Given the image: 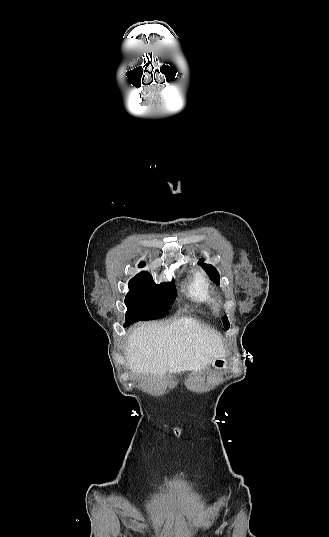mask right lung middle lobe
I'll list each match as a JSON object with an SVG mask.
<instances>
[{"mask_svg": "<svg viewBox=\"0 0 329 537\" xmlns=\"http://www.w3.org/2000/svg\"><path fill=\"white\" fill-rule=\"evenodd\" d=\"M125 297L127 312L124 326L139 320H153L163 317L170 301L175 297L173 282L156 284L148 272H140L129 283Z\"/></svg>", "mask_w": 329, "mask_h": 537, "instance_id": "right-lung-middle-lobe-1", "label": "right lung middle lobe"}]
</instances>
